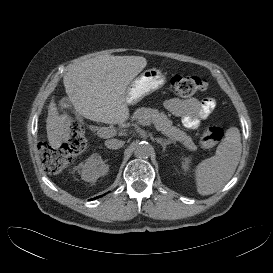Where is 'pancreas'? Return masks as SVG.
<instances>
[{
	"instance_id": "1",
	"label": "pancreas",
	"mask_w": 273,
	"mask_h": 273,
	"mask_svg": "<svg viewBox=\"0 0 273 273\" xmlns=\"http://www.w3.org/2000/svg\"><path fill=\"white\" fill-rule=\"evenodd\" d=\"M132 120L148 121L153 123L157 130L161 131L165 136L172 141H179L190 151H195L197 146L194 144L192 138L179 128L173 126V122L163 112L157 109L141 107L135 110Z\"/></svg>"
}]
</instances>
